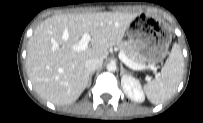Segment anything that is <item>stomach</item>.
Masks as SVG:
<instances>
[{"label":"stomach","instance_id":"stomach-1","mask_svg":"<svg viewBox=\"0 0 203 123\" xmlns=\"http://www.w3.org/2000/svg\"><path fill=\"white\" fill-rule=\"evenodd\" d=\"M127 34L143 62L155 64L168 54L172 35L157 19L145 16L131 27Z\"/></svg>","mask_w":203,"mask_h":123}]
</instances>
